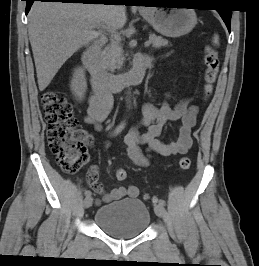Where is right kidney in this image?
Returning a JSON list of instances; mask_svg holds the SVG:
<instances>
[{
  "label": "right kidney",
  "instance_id": "obj_1",
  "mask_svg": "<svg viewBox=\"0 0 259 266\" xmlns=\"http://www.w3.org/2000/svg\"><path fill=\"white\" fill-rule=\"evenodd\" d=\"M70 89L78 101H82L87 90L85 71L81 67L74 70Z\"/></svg>",
  "mask_w": 259,
  "mask_h": 266
}]
</instances>
